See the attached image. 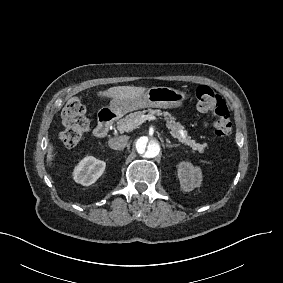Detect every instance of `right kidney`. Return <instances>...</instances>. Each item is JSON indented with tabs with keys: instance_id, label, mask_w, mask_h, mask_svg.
Here are the masks:
<instances>
[{
	"instance_id": "1",
	"label": "right kidney",
	"mask_w": 283,
	"mask_h": 283,
	"mask_svg": "<svg viewBox=\"0 0 283 283\" xmlns=\"http://www.w3.org/2000/svg\"><path fill=\"white\" fill-rule=\"evenodd\" d=\"M106 167L104 161L98 160L93 156L83 158L73 171V179L75 182L89 186L103 174Z\"/></svg>"
}]
</instances>
